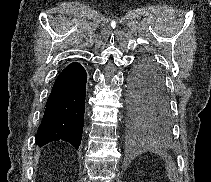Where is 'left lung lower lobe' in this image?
<instances>
[{
    "mask_svg": "<svg viewBox=\"0 0 211 182\" xmlns=\"http://www.w3.org/2000/svg\"><path fill=\"white\" fill-rule=\"evenodd\" d=\"M129 101L133 117L153 134L167 135L172 115L163 74L150 57H141L129 76Z\"/></svg>",
    "mask_w": 211,
    "mask_h": 182,
    "instance_id": "left-lung-lower-lobe-1",
    "label": "left lung lower lobe"
}]
</instances>
